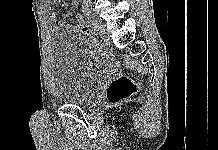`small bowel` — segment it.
<instances>
[{
  "label": "small bowel",
  "mask_w": 218,
  "mask_h": 150,
  "mask_svg": "<svg viewBox=\"0 0 218 150\" xmlns=\"http://www.w3.org/2000/svg\"><path fill=\"white\" fill-rule=\"evenodd\" d=\"M54 1L56 0H47V2L45 3V10L48 13V19H49L51 31L57 32L60 29L83 31V27H84L83 25L81 24L74 25L72 23L61 20L57 16V14L52 9V4L54 3ZM70 1L74 6L76 5L75 0H70ZM65 16H68V14H66Z\"/></svg>",
  "instance_id": "c3829d8e"
}]
</instances>
